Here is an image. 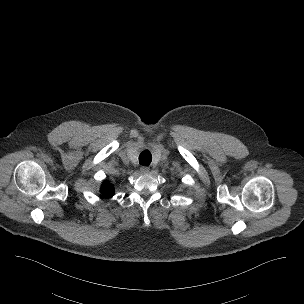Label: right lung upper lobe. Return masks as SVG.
I'll list each match as a JSON object with an SVG mask.
<instances>
[{"label": "right lung upper lobe", "mask_w": 304, "mask_h": 304, "mask_svg": "<svg viewBox=\"0 0 304 304\" xmlns=\"http://www.w3.org/2000/svg\"><path fill=\"white\" fill-rule=\"evenodd\" d=\"M101 193L105 197H112L114 195V187L108 181H104L101 186Z\"/></svg>", "instance_id": "1"}]
</instances>
